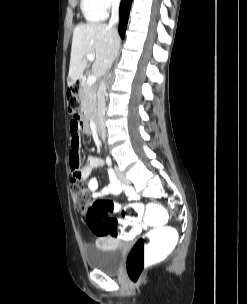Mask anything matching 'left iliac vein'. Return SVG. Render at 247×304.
<instances>
[{
	"mask_svg": "<svg viewBox=\"0 0 247 304\" xmlns=\"http://www.w3.org/2000/svg\"><path fill=\"white\" fill-rule=\"evenodd\" d=\"M115 173L121 183L130 184V180L126 178V176L119 170L117 166H115Z\"/></svg>",
	"mask_w": 247,
	"mask_h": 304,
	"instance_id": "1",
	"label": "left iliac vein"
}]
</instances>
